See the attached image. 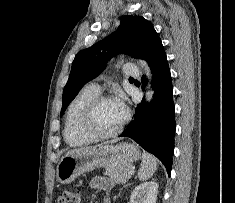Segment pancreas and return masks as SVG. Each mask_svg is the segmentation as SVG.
Listing matches in <instances>:
<instances>
[{
  "label": "pancreas",
  "instance_id": "cf45deb5",
  "mask_svg": "<svg viewBox=\"0 0 235 203\" xmlns=\"http://www.w3.org/2000/svg\"><path fill=\"white\" fill-rule=\"evenodd\" d=\"M133 169L131 164L120 165L115 167H108L105 170V175L109 176L111 180L116 183H125L130 178V170Z\"/></svg>",
  "mask_w": 235,
  "mask_h": 203
}]
</instances>
